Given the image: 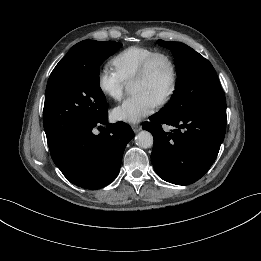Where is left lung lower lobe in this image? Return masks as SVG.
I'll use <instances>...</instances> for the list:
<instances>
[{
	"label": "left lung lower lobe",
	"mask_w": 261,
	"mask_h": 261,
	"mask_svg": "<svg viewBox=\"0 0 261 261\" xmlns=\"http://www.w3.org/2000/svg\"><path fill=\"white\" fill-rule=\"evenodd\" d=\"M143 124L154 138L151 160L163 180L188 185L200 179L215 161L226 130V105L174 116L159 112ZM161 124L175 127L165 132Z\"/></svg>",
	"instance_id": "0a47b994"
}]
</instances>
